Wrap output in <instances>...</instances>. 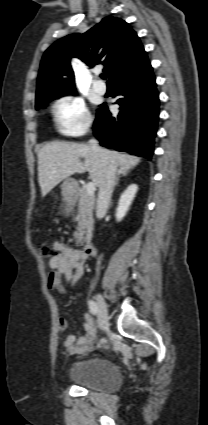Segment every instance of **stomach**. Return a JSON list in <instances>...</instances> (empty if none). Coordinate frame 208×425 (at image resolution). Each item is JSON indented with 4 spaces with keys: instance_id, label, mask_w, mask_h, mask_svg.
<instances>
[{
    "instance_id": "1",
    "label": "stomach",
    "mask_w": 208,
    "mask_h": 425,
    "mask_svg": "<svg viewBox=\"0 0 208 425\" xmlns=\"http://www.w3.org/2000/svg\"><path fill=\"white\" fill-rule=\"evenodd\" d=\"M62 195L65 201H71L74 199L77 193L78 183L73 178H67L62 184Z\"/></svg>"
}]
</instances>
